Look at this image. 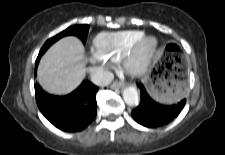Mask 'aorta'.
<instances>
[{
    "label": "aorta",
    "instance_id": "aorta-1",
    "mask_svg": "<svg viewBox=\"0 0 225 155\" xmlns=\"http://www.w3.org/2000/svg\"><path fill=\"white\" fill-rule=\"evenodd\" d=\"M123 99L125 103L129 106L137 105L139 101V94L137 89L133 86L126 87L123 90Z\"/></svg>",
    "mask_w": 225,
    "mask_h": 155
}]
</instances>
